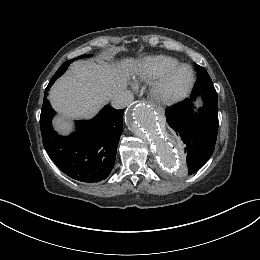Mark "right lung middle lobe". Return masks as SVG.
I'll use <instances>...</instances> for the list:
<instances>
[{"label":"right lung middle lobe","mask_w":260,"mask_h":260,"mask_svg":"<svg viewBox=\"0 0 260 260\" xmlns=\"http://www.w3.org/2000/svg\"><path fill=\"white\" fill-rule=\"evenodd\" d=\"M90 56L91 55H83V56H79L77 58H74V60H77V59H80V58H87V57H90ZM70 63H72V60L66 61L63 65H61L60 68L55 73V75L52 77V79L56 80L58 77H60L66 71V69L68 68Z\"/></svg>","instance_id":"dd1d6c3e"}]
</instances>
